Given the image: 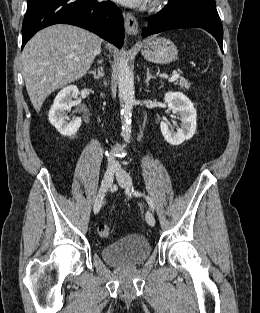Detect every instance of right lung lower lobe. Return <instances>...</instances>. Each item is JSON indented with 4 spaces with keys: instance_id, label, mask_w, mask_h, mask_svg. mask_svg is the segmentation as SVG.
<instances>
[{
    "instance_id": "1",
    "label": "right lung lower lobe",
    "mask_w": 260,
    "mask_h": 313,
    "mask_svg": "<svg viewBox=\"0 0 260 313\" xmlns=\"http://www.w3.org/2000/svg\"><path fill=\"white\" fill-rule=\"evenodd\" d=\"M58 23L85 28L119 48L124 42L121 10L111 1L28 0L22 26V48L37 31Z\"/></svg>"
}]
</instances>
